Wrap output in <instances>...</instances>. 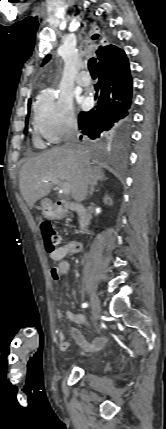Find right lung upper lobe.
<instances>
[{
  "instance_id": "obj_1",
  "label": "right lung upper lobe",
  "mask_w": 166,
  "mask_h": 429,
  "mask_svg": "<svg viewBox=\"0 0 166 429\" xmlns=\"http://www.w3.org/2000/svg\"><path fill=\"white\" fill-rule=\"evenodd\" d=\"M97 37L98 35L93 36V38H97ZM121 51H122L121 48L116 47L114 45L100 46L99 49L96 51V55L98 60L100 61L113 56H118L121 53ZM49 60H50V55L46 56V58L43 61V65L47 63Z\"/></svg>"
}]
</instances>
